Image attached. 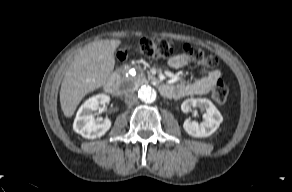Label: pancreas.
<instances>
[{
  "mask_svg": "<svg viewBox=\"0 0 292 192\" xmlns=\"http://www.w3.org/2000/svg\"><path fill=\"white\" fill-rule=\"evenodd\" d=\"M148 79H149V80H153L154 78H153V76L148 75ZM145 80H146V79H145V74H144L143 72L137 74L135 77L132 78V81H133L134 83H137V84H140V83H142V82H145Z\"/></svg>",
  "mask_w": 292,
  "mask_h": 192,
  "instance_id": "obj_1",
  "label": "pancreas"
}]
</instances>
